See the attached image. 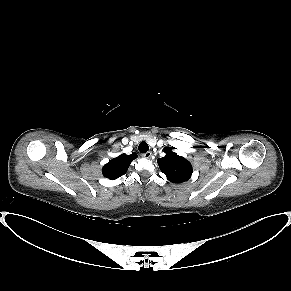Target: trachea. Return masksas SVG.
Returning <instances> with one entry per match:
<instances>
[{
    "label": "trachea",
    "instance_id": "trachea-1",
    "mask_svg": "<svg viewBox=\"0 0 291 291\" xmlns=\"http://www.w3.org/2000/svg\"><path fill=\"white\" fill-rule=\"evenodd\" d=\"M138 149L141 153H146L149 150V146L146 142H141L138 146Z\"/></svg>",
    "mask_w": 291,
    "mask_h": 291
}]
</instances>
